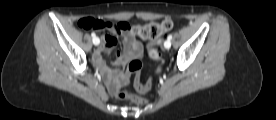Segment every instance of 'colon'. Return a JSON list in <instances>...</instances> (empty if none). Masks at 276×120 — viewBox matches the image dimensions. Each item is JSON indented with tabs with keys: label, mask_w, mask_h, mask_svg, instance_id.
Masks as SVG:
<instances>
[{
	"label": "colon",
	"mask_w": 276,
	"mask_h": 120,
	"mask_svg": "<svg viewBox=\"0 0 276 120\" xmlns=\"http://www.w3.org/2000/svg\"><path fill=\"white\" fill-rule=\"evenodd\" d=\"M77 26L82 29H102L105 26L104 21L94 19L90 17L82 18L77 22ZM173 27L171 19L166 18L160 23H148L143 26L136 25L129 30L134 34L140 36L147 41L149 56L154 60L161 59V53L158 46L163 40V36L166 32L170 31ZM142 63L139 60H133L128 65L129 75L134 76V86L139 93L148 92L153 85V77L149 78L146 82H142L140 79V72ZM162 68L158 67L155 71L156 74L161 72ZM118 99H131L133 102L139 105L145 104L147 101L141 96L132 95L125 87H121L115 93Z\"/></svg>",
	"instance_id": "colon-1"
}]
</instances>
